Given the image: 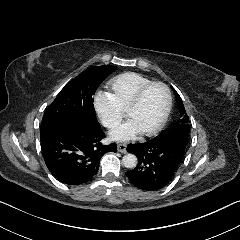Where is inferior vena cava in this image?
Here are the masks:
<instances>
[{
  "mask_svg": "<svg viewBox=\"0 0 240 240\" xmlns=\"http://www.w3.org/2000/svg\"><path fill=\"white\" fill-rule=\"evenodd\" d=\"M104 126L107 127V128H112L114 126V123H112L110 121H105Z\"/></svg>",
  "mask_w": 240,
  "mask_h": 240,
  "instance_id": "obj_1",
  "label": "inferior vena cava"
}]
</instances>
